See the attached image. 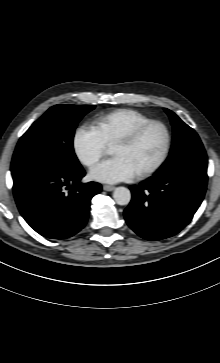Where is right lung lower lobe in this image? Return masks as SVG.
I'll return each instance as SVG.
<instances>
[{"label": "right lung lower lobe", "instance_id": "right-lung-lower-lobe-1", "mask_svg": "<svg viewBox=\"0 0 220 363\" xmlns=\"http://www.w3.org/2000/svg\"><path fill=\"white\" fill-rule=\"evenodd\" d=\"M84 175L83 168L69 173L36 170L13 179L22 217L47 238L75 235L87 222L91 198L101 191L99 183H81Z\"/></svg>", "mask_w": 220, "mask_h": 363}]
</instances>
